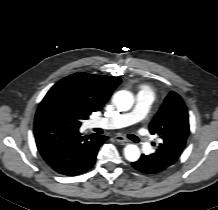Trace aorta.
Returning <instances> with one entry per match:
<instances>
[{
  "instance_id": "obj_1",
  "label": "aorta",
  "mask_w": 218,
  "mask_h": 210,
  "mask_svg": "<svg viewBox=\"0 0 218 210\" xmlns=\"http://www.w3.org/2000/svg\"><path fill=\"white\" fill-rule=\"evenodd\" d=\"M134 103V98L131 92L126 90L118 91L113 96V104L120 111H128L131 109ZM141 152L137 145L128 144L124 148V156L126 160L130 162H135L140 158Z\"/></svg>"
}]
</instances>
